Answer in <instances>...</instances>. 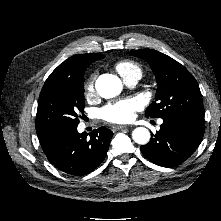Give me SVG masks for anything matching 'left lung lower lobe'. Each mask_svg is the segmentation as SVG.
Returning <instances> with one entry per match:
<instances>
[{"label":"left lung lower lobe","mask_w":221,"mask_h":221,"mask_svg":"<svg viewBox=\"0 0 221 221\" xmlns=\"http://www.w3.org/2000/svg\"><path fill=\"white\" fill-rule=\"evenodd\" d=\"M204 118L175 116L163 119L151 141L140 147L152 162L174 167L187 160L199 146L204 134Z\"/></svg>","instance_id":"left-lung-lower-lobe-1"}]
</instances>
